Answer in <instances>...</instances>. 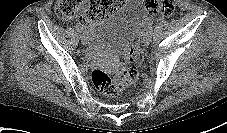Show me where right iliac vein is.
I'll return each mask as SVG.
<instances>
[{"instance_id": "63e3f726", "label": "right iliac vein", "mask_w": 227, "mask_h": 133, "mask_svg": "<svg viewBox=\"0 0 227 133\" xmlns=\"http://www.w3.org/2000/svg\"><path fill=\"white\" fill-rule=\"evenodd\" d=\"M80 40L83 45H87L88 40L87 37L84 34H80Z\"/></svg>"}]
</instances>
